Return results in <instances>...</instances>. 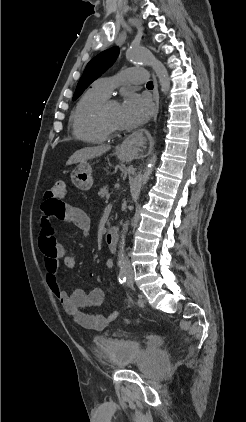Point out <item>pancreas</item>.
<instances>
[{
    "mask_svg": "<svg viewBox=\"0 0 246 422\" xmlns=\"http://www.w3.org/2000/svg\"><path fill=\"white\" fill-rule=\"evenodd\" d=\"M108 186L107 185H105V186H103L101 189H100V191L98 192V195L101 197V198H104L105 196H107V194H108Z\"/></svg>",
    "mask_w": 246,
    "mask_h": 422,
    "instance_id": "obj_1",
    "label": "pancreas"
}]
</instances>
